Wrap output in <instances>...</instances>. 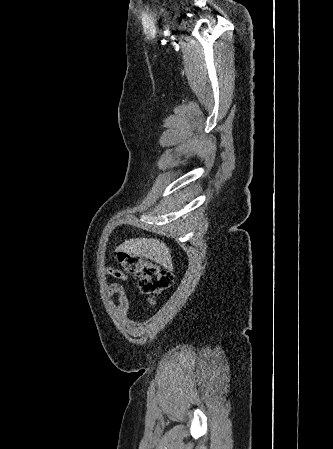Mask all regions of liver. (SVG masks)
I'll list each match as a JSON object with an SVG mask.
<instances>
[{"mask_svg": "<svg viewBox=\"0 0 333 449\" xmlns=\"http://www.w3.org/2000/svg\"><path fill=\"white\" fill-rule=\"evenodd\" d=\"M141 255L165 267H172L169 248L159 240L152 238H135L125 241L116 248V252Z\"/></svg>", "mask_w": 333, "mask_h": 449, "instance_id": "obj_1", "label": "liver"}]
</instances>
